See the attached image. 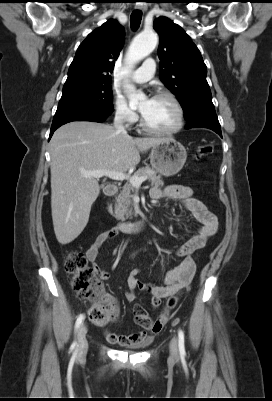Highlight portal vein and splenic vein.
Segmentation results:
<instances>
[{
  "mask_svg": "<svg viewBox=\"0 0 272 401\" xmlns=\"http://www.w3.org/2000/svg\"><path fill=\"white\" fill-rule=\"evenodd\" d=\"M81 174L84 177L101 178L103 176L109 177L116 181H129L134 187L139 188L141 184L147 179L146 176L138 177L134 175H127L126 173L110 171V170H94V171H82Z\"/></svg>",
  "mask_w": 272,
  "mask_h": 401,
  "instance_id": "1",
  "label": "portal vein and splenic vein"
}]
</instances>
